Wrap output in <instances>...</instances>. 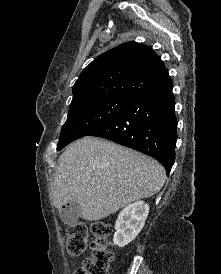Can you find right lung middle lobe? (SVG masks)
Wrapping results in <instances>:
<instances>
[{
    "label": "right lung middle lobe",
    "mask_w": 221,
    "mask_h": 274,
    "mask_svg": "<svg viewBox=\"0 0 221 274\" xmlns=\"http://www.w3.org/2000/svg\"><path fill=\"white\" fill-rule=\"evenodd\" d=\"M131 100L120 96H97L72 101L57 150L103 126Z\"/></svg>",
    "instance_id": "right-lung-middle-lobe-1"
}]
</instances>
